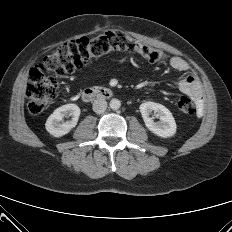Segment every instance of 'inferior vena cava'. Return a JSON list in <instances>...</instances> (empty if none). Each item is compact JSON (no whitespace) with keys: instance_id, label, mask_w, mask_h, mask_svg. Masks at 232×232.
I'll use <instances>...</instances> for the list:
<instances>
[{"instance_id":"1","label":"inferior vena cava","mask_w":232,"mask_h":232,"mask_svg":"<svg viewBox=\"0 0 232 232\" xmlns=\"http://www.w3.org/2000/svg\"><path fill=\"white\" fill-rule=\"evenodd\" d=\"M107 109V102L104 99H97L93 102V111L97 114L103 113Z\"/></svg>"}]
</instances>
